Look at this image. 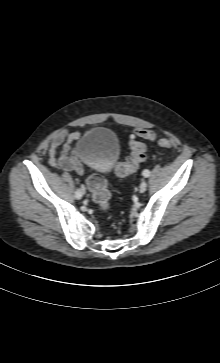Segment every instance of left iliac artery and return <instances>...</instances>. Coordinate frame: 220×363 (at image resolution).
I'll return each instance as SVG.
<instances>
[{"label": "left iliac artery", "mask_w": 220, "mask_h": 363, "mask_svg": "<svg viewBox=\"0 0 220 363\" xmlns=\"http://www.w3.org/2000/svg\"><path fill=\"white\" fill-rule=\"evenodd\" d=\"M142 175L144 176V177H149L150 176V171L149 170H144L143 172H142Z\"/></svg>", "instance_id": "obj_1"}]
</instances>
